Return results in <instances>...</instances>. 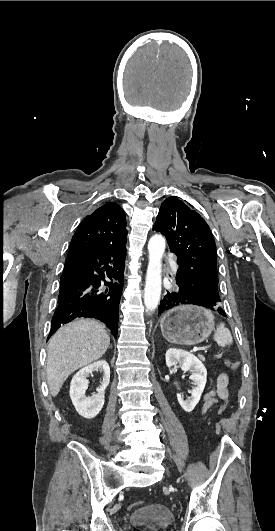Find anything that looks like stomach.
I'll return each instance as SVG.
<instances>
[{
  "label": "stomach",
  "instance_id": "stomach-1",
  "mask_svg": "<svg viewBox=\"0 0 275 531\" xmlns=\"http://www.w3.org/2000/svg\"><path fill=\"white\" fill-rule=\"evenodd\" d=\"M215 325L212 311L199 307L198 301H179L178 307L160 319L162 335L175 345H197L208 339Z\"/></svg>",
  "mask_w": 275,
  "mask_h": 531
}]
</instances>
